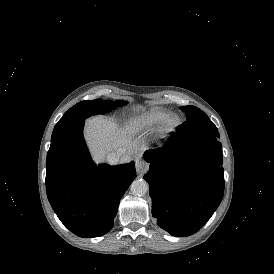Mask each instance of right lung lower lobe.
Returning <instances> with one entry per match:
<instances>
[{
  "label": "right lung lower lobe",
  "instance_id": "right-lung-lower-lobe-1",
  "mask_svg": "<svg viewBox=\"0 0 274 274\" xmlns=\"http://www.w3.org/2000/svg\"><path fill=\"white\" fill-rule=\"evenodd\" d=\"M84 121L51 142L46 160L48 200L74 234L97 237L113 227L121 197L136 177L135 164L99 165L83 139Z\"/></svg>",
  "mask_w": 274,
  "mask_h": 274
}]
</instances>
